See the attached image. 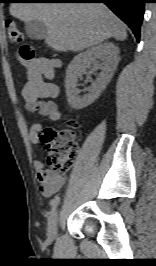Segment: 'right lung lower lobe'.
<instances>
[{
	"mask_svg": "<svg viewBox=\"0 0 156 266\" xmlns=\"http://www.w3.org/2000/svg\"><path fill=\"white\" fill-rule=\"evenodd\" d=\"M60 3H104L120 19H122L134 33L139 42L140 27L144 16L146 0H49Z\"/></svg>",
	"mask_w": 156,
	"mask_h": 266,
	"instance_id": "98d812e1",
	"label": "right lung lower lobe"
}]
</instances>
